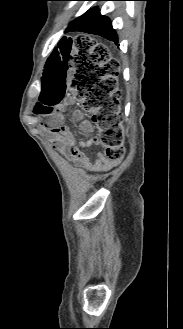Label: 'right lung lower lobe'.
Masks as SVG:
<instances>
[{
  "label": "right lung lower lobe",
  "instance_id": "1",
  "mask_svg": "<svg viewBox=\"0 0 183 329\" xmlns=\"http://www.w3.org/2000/svg\"><path fill=\"white\" fill-rule=\"evenodd\" d=\"M68 30L101 35L116 43L118 40L116 32L112 28L110 19L101 15L98 8H92L75 19L69 26ZM83 67L86 69L94 68L93 65L88 62L83 63Z\"/></svg>",
  "mask_w": 183,
  "mask_h": 329
}]
</instances>
